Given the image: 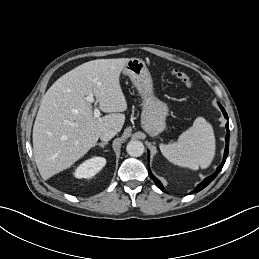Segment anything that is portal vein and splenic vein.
Returning <instances> with one entry per match:
<instances>
[{
	"label": "portal vein and splenic vein",
	"mask_w": 259,
	"mask_h": 259,
	"mask_svg": "<svg viewBox=\"0 0 259 259\" xmlns=\"http://www.w3.org/2000/svg\"><path fill=\"white\" fill-rule=\"evenodd\" d=\"M85 100L87 101V102H89V103H96L95 102V99H94V97H93V94H89L88 96H86L85 97ZM101 116V112H100V110L97 108V107H95V109H94V117L95 118H99ZM71 125H76L75 123H70Z\"/></svg>",
	"instance_id": "obj_1"
}]
</instances>
